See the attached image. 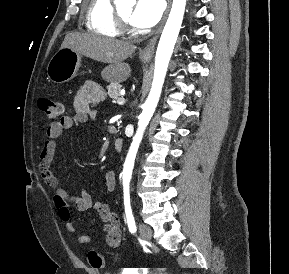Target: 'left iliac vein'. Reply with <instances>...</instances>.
<instances>
[{"instance_id": "left-iliac-vein-1", "label": "left iliac vein", "mask_w": 289, "mask_h": 274, "mask_svg": "<svg viewBox=\"0 0 289 274\" xmlns=\"http://www.w3.org/2000/svg\"><path fill=\"white\" fill-rule=\"evenodd\" d=\"M140 236L144 242H150L152 239V229L144 224H139L138 226Z\"/></svg>"}]
</instances>
